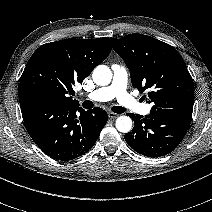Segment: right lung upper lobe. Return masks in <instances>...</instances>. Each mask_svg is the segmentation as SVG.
<instances>
[{"label": "right lung upper lobe", "mask_w": 212, "mask_h": 212, "mask_svg": "<svg viewBox=\"0 0 212 212\" xmlns=\"http://www.w3.org/2000/svg\"><path fill=\"white\" fill-rule=\"evenodd\" d=\"M110 38L65 39L41 45L21 76V111L45 103L78 105L72 85L82 82L111 51Z\"/></svg>", "instance_id": "cb5924a9"}]
</instances>
